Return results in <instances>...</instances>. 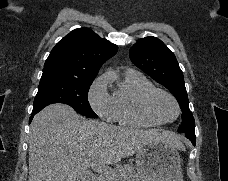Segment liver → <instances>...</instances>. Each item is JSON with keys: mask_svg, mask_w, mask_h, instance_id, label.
Listing matches in <instances>:
<instances>
[{"mask_svg": "<svg viewBox=\"0 0 228 181\" xmlns=\"http://www.w3.org/2000/svg\"><path fill=\"white\" fill-rule=\"evenodd\" d=\"M148 141H164L185 151L174 133L87 121L69 105H48L30 125L28 181H81L89 161L115 165Z\"/></svg>", "mask_w": 228, "mask_h": 181, "instance_id": "liver-1", "label": "liver"}]
</instances>
